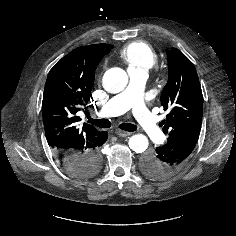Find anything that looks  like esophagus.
I'll return each instance as SVG.
<instances>
[{
  "mask_svg": "<svg viewBox=\"0 0 236 236\" xmlns=\"http://www.w3.org/2000/svg\"><path fill=\"white\" fill-rule=\"evenodd\" d=\"M116 134L120 137H127V136H130L131 133L130 132H127V131H123V130H117L116 131Z\"/></svg>",
  "mask_w": 236,
  "mask_h": 236,
  "instance_id": "34e87169",
  "label": "esophagus"
}]
</instances>
